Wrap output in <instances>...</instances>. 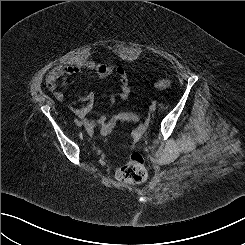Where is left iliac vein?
Wrapping results in <instances>:
<instances>
[{"label":"left iliac vein","mask_w":245,"mask_h":245,"mask_svg":"<svg viewBox=\"0 0 245 245\" xmlns=\"http://www.w3.org/2000/svg\"><path fill=\"white\" fill-rule=\"evenodd\" d=\"M149 110H150V112H154L156 110V106L155 105H151L149 107Z\"/></svg>","instance_id":"4c4485c4"}]
</instances>
